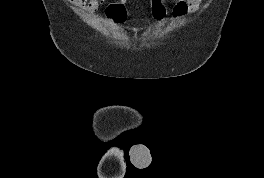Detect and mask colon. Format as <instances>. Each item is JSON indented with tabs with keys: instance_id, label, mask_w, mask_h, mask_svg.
<instances>
[{
	"instance_id": "colon-1",
	"label": "colon",
	"mask_w": 264,
	"mask_h": 178,
	"mask_svg": "<svg viewBox=\"0 0 264 178\" xmlns=\"http://www.w3.org/2000/svg\"><path fill=\"white\" fill-rule=\"evenodd\" d=\"M108 20L116 25L123 24L128 18V10L124 0L107 4L104 10ZM168 13L165 0H151L150 15L155 22L163 21Z\"/></svg>"
}]
</instances>
